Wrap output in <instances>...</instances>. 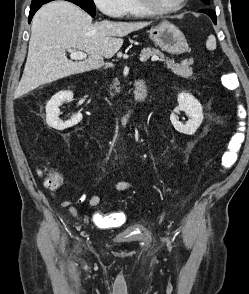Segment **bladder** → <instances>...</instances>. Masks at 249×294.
Segmentation results:
<instances>
[{
  "label": "bladder",
  "instance_id": "obj_1",
  "mask_svg": "<svg viewBox=\"0 0 249 294\" xmlns=\"http://www.w3.org/2000/svg\"><path fill=\"white\" fill-rule=\"evenodd\" d=\"M139 231V232H135ZM115 240L121 244L137 243L149 240V231L141 225H135L132 229H128L118 235Z\"/></svg>",
  "mask_w": 249,
  "mask_h": 294
}]
</instances>
